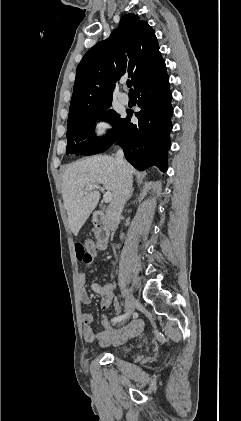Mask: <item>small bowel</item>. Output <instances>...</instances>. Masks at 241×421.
I'll use <instances>...</instances> for the list:
<instances>
[{
    "label": "small bowel",
    "mask_w": 241,
    "mask_h": 421,
    "mask_svg": "<svg viewBox=\"0 0 241 421\" xmlns=\"http://www.w3.org/2000/svg\"><path fill=\"white\" fill-rule=\"evenodd\" d=\"M87 276L84 272H81L78 277L79 281V297L83 304L89 305L91 303V297L86 289ZM92 290L100 295L101 301L100 306L103 310H107L114 300L113 288L111 285H101L99 283H93L91 285ZM83 321V336L88 343L98 344L101 346L119 345L127 341L128 339L136 336L142 330L143 323L141 320H133L126 326L115 329L113 328L104 314L101 317V325L103 330L95 333L92 329L93 316L91 313H84L82 315Z\"/></svg>",
    "instance_id": "1"
}]
</instances>
